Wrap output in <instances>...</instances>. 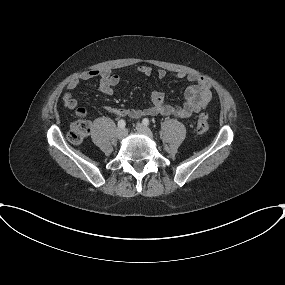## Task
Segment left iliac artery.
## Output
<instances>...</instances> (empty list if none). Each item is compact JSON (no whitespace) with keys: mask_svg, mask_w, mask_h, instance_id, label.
Instances as JSON below:
<instances>
[{"mask_svg":"<svg viewBox=\"0 0 285 285\" xmlns=\"http://www.w3.org/2000/svg\"><path fill=\"white\" fill-rule=\"evenodd\" d=\"M142 123L145 125V126H148L149 125V120L148 118H144Z\"/></svg>","mask_w":285,"mask_h":285,"instance_id":"1","label":"left iliac artery"}]
</instances>
